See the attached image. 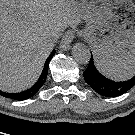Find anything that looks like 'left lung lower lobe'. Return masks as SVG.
Wrapping results in <instances>:
<instances>
[{
  "instance_id": "0a47b994",
  "label": "left lung lower lobe",
  "mask_w": 135,
  "mask_h": 135,
  "mask_svg": "<svg viewBox=\"0 0 135 135\" xmlns=\"http://www.w3.org/2000/svg\"><path fill=\"white\" fill-rule=\"evenodd\" d=\"M83 76L93 90L105 97L120 96L135 85V76L127 81L120 82L104 77L95 68L93 58H91L87 69L83 72Z\"/></svg>"
}]
</instances>
